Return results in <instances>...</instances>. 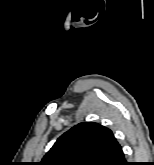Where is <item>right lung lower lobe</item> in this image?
I'll use <instances>...</instances> for the list:
<instances>
[{"mask_svg": "<svg viewBox=\"0 0 154 165\" xmlns=\"http://www.w3.org/2000/svg\"><path fill=\"white\" fill-rule=\"evenodd\" d=\"M110 165H128L124 158V154L121 147L118 154L115 156L114 160L111 162Z\"/></svg>", "mask_w": 154, "mask_h": 165, "instance_id": "obj_1", "label": "right lung lower lobe"}]
</instances>
